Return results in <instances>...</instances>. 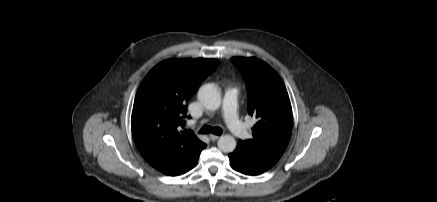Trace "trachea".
I'll use <instances>...</instances> for the list:
<instances>
[{"mask_svg":"<svg viewBox=\"0 0 437 202\" xmlns=\"http://www.w3.org/2000/svg\"><path fill=\"white\" fill-rule=\"evenodd\" d=\"M222 129L220 127H211L209 125H204L200 130L199 133L201 134H209V133H213L215 135H221L222 134Z\"/></svg>","mask_w":437,"mask_h":202,"instance_id":"3493384b","label":"trachea"}]
</instances>
